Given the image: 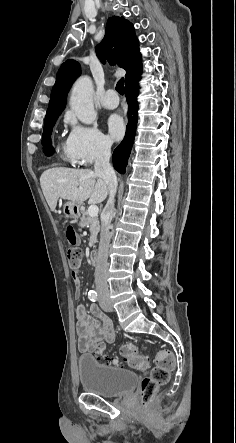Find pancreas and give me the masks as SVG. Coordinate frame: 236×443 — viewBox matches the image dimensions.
<instances>
[{"label": "pancreas", "mask_w": 236, "mask_h": 443, "mask_svg": "<svg viewBox=\"0 0 236 443\" xmlns=\"http://www.w3.org/2000/svg\"><path fill=\"white\" fill-rule=\"evenodd\" d=\"M79 225L81 227H87L90 231V238H89V246L93 247L94 244L97 242V236L100 229L99 226V220L97 216L90 217L88 214V211L82 212V217H80Z\"/></svg>", "instance_id": "cf45deb5"}]
</instances>
